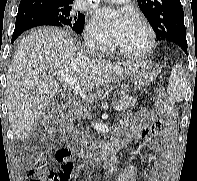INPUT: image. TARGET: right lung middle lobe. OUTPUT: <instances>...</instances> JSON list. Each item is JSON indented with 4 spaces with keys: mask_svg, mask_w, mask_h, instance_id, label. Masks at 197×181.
Listing matches in <instances>:
<instances>
[{
    "mask_svg": "<svg viewBox=\"0 0 197 181\" xmlns=\"http://www.w3.org/2000/svg\"><path fill=\"white\" fill-rule=\"evenodd\" d=\"M41 11L59 20L61 26L70 27L73 31L81 34L83 31L85 16L81 13H74L71 6H59L53 4H37L34 6Z\"/></svg>",
    "mask_w": 197,
    "mask_h": 181,
    "instance_id": "obj_1",
    "label": "right lung middle lobe"
}]
</instances>
